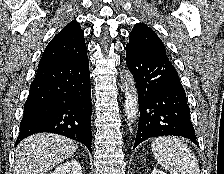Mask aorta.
<instances>
[{"label":"aorta","mask_w":224,"mask_h":174,"mask_svg":"<svg viewBox=\"0 0 224 174\" xmlns=\"http://www.w3.org/2000/svg\"><path fill=\"white\" fill-rule=\"evenodd\" d=\"M126 92H125V110L128 119L132 122L136 119L138 113V96L136 88L133 86L132 80H127L125 82Z\"/></svg>","instance_id":"1"}]
</instances>
